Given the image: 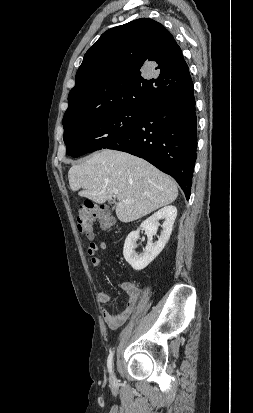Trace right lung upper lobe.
Returning a JSON list of instances; mask_svg holds the SVG:
<instances>
[{"instance_id":"right-lung-upper-lobe-1","label":"right lung upper lobe","mask_w":253,"mask_h":413,"mask_svg":"<svg viewBox=\"0 0 253 413\" xmlns=\"http://www.w3.org/2000/svg\"><path fill=\"white\" fill-rule=\"evenodd\" d=\"M149 62L157 64L156 78H145ZM191 82L170 32L152 19H137L106 31L86 52L62 123L112 109H142Z\"/></svg>"}]
</instances>
